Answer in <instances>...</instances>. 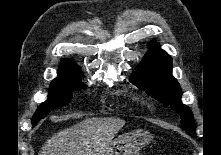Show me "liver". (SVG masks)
<instances>
[{
    "mask_svg": "<svg viewBox=\"0 0 221 155\" xmlns=\"http://www.w3.org/2000/svg\"><path fill=\"white\" fill-rule=\"evenodd\" d=\"M124 125L115 117L87 118L48 139L39 155H103Z\"/></svg>",
    "mask_w": 221,
    "mask_h": 155,
    "instance_id": "liver-1",
    "label": "liver"
}]
</instances>
